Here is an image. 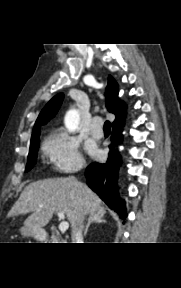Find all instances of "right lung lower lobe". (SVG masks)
<instances>
[{
	"label": "right lung lower lobe",
	"instance_id": "1",
	"mask_svg": "<svg viewBox=\"0 0 181 288\" xmlns=\"http://www.w3.org/2000/svg\"><path fill=\"white\" fill-rule=\"evenodd\" d=\"M121 126H112L111 145L106 163H92L86 169L87 184L121 219L127 217L126 203L120 198L117 188V178L121 159L116 146L123 139Z\"/></svg>",
	"mask_w": 181,
	"mask_h": 288
}]
</instances>
